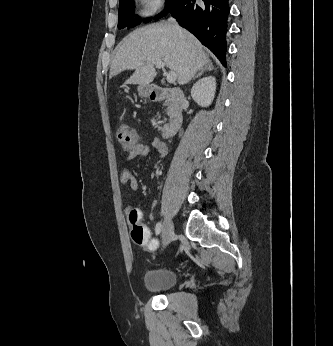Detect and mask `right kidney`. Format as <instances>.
Wrapping results in <instances>:
<instances>
[{
	"mask_svg": "<svg viewBox=\"0 0 333 346\" xmlns=\"http://www.w3.org/2000/svg\"><path fill=\"white\" fill-rule=\"evenodd\" d=\"M216 91V80L214 77H204L198 80L191 89L193 100L201 107L211 105Z\"/></svg>",
	"mask_w": 333,
	"mask_h": 346,
	"instance_id": "ca27d5eb",
	"label": "right kidney"
}]
</instances>
